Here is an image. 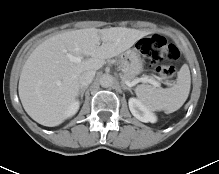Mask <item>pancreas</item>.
<instances>
[{"label": "pancreas", "instance_id": "obj_1", "mask_svg": "<svg viewBox=\"0 0 219 174\" xmlns=\"http://www.w3.org/2000/svg\"><path fill=\"white\" fill-rule=\"evenodd\" d=\"M123 79L126 80V81H129V82L133 81V79H129V78H126V77H124Z\"/></svg>", "mask_w": 219, "mask_h": 174}]
</instances>
